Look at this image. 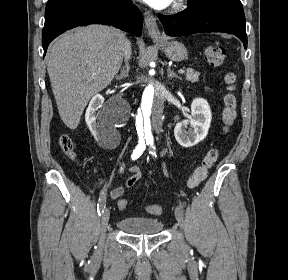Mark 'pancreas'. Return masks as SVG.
Wrapping results in <instances>:
<instances>
[{"instance_id": "obj_1", "label": "pancreas", "mask_w": 288, "mask_h": 280, "mask_svg": "<svg viewBox=\"0 0 288 280\" xmlns=\"http://www.w3.org/2000/svg\"><path fill=\"white\" fill-rule=\"evenodd\" d=\"M199 75V72L194 71L193 69H187L186 79L191 83H196L199 80Z\"/></svg>"}]
</instances>
